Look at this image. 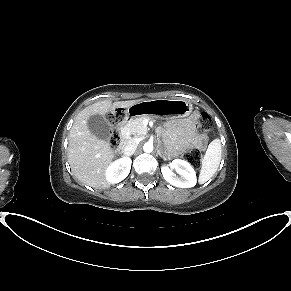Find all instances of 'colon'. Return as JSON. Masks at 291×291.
<instances>
[{
  "label": "colon",
  "mask_w": 291,
  "mask_h": 291,
  "mask_svg": "<svg viewBox=\"0 0 291 291\" xmlns=\"http://www.w3.org/2000/svg\"><path fill=\"white\" fill-rule=\"evenodd\" d=\"M126 118V110L119 108L108 115V121L115 127L110 132L109 143L111 148L116 149L121 144L120 132L117 126L121 124ZM213 128V121L211 117L203 113L199 116L196 126L197 136L203 140ZM200 151L198 149H190L184 153V158L192 165L197 166L200 162Z\"/></svg>",
  "instance_id": "colon-1"
}]
</instances>
